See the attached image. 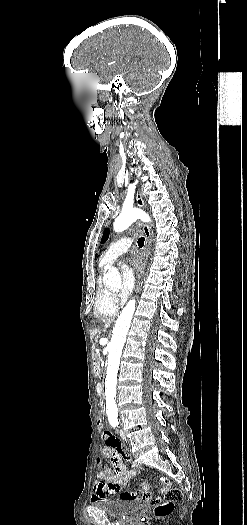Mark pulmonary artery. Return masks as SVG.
<instances>
[{
  "label": "pulmonary artery",
  "instance_id": "pulmonary-artery-1",
  "mask_svg": "<svg viewBox=\"0 0 247 525\" xmlns=\"http://www.w3.org/2000/svg\"><path fill=\"white\" fill-rule=\"evenodd\" d=\"M132 242L133 239L129 236L117 237L107 246L106 250L102 254V257H104L107 262H111L119 255L127 251L130 248Z\"/></svg>",
  "mask_w": 247,
  "mask_h": 525
}]
</instances>
